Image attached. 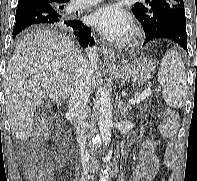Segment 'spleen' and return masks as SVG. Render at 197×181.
I'll return each instance as SVG.
<instances>
[{"instance_id": "obj_1", "label": "spleen", "mask_w": 197, "mask_h": 181, "mask_svg": "<svg viewBox=\"0 0 197 181\" xmlns=\"http://www.w3.org/2000/svg\"><path fill=\"white\" fill-rule=\"evenodd\" d=\"M158 81L163 88L165 103L172 108L182 107L187 96V81L184 63L176 50L170 49L164 55Z\"/></svg>"}]
</instances>
